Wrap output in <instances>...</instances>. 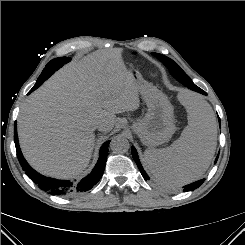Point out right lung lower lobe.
<instances>
[{
	"mask_svg": "<svg viewBox=\"0 0 245 245\" xmlns=\"http://www.w3.org/2000/svg\"><path fill=\"white\" fill-rule=\"evenodd\" d=\"M53 73H54L53 70L46 71L44 68L36 84L29 91L28 94H30L32 91L37 89ZM14 141H15L18 160L20 162V165L22 166V169L25 171L26 175H28V177L33 182L38 184L40 188H42L45 191H48L52 195H71V194L90 190L101 179L103 175L104 167L107 160L108 146L110 143V141H107L102 145L99 153L100 154L99 159L92 172L84 179H82L80 182L73 183L70 181L57 180V179L45 177L30 167V165L24 159L22 152L20 150L18 136H17L16 122L14 124Z\"/></svg>",
	"mask_w": 245,
	"mask_h": 245,
	"instance_id": "right-lung-lower-lobe-1",
	"label": "right lung lower lobe"
}]
</instances>
